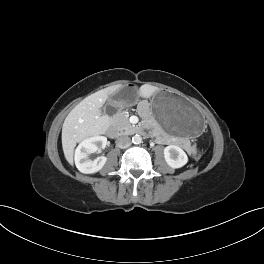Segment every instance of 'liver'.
<instances>
[{"label": "liver", "instance_id": "6515ba94", "mask_svg": "<svg viewBox=\"0 0 264 264\" xmlns=\"http://www.w3.org/2000/svg\"><path fill=\"white\" fill-rule=\"evenodd\" d=\"M118 89L109 87L86 97L66 117L62 127V148L69 164H73L74 148L78 142L90 136L105 134L110 126V117L103 115L100 108L108 96ZM158 91L155 86L143 85L139 95L149 98Z\"/></svg>", "mask_w": 264, "mask_h": 264}]
</instances>
